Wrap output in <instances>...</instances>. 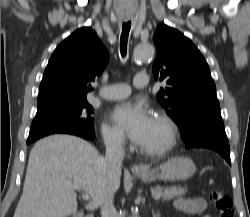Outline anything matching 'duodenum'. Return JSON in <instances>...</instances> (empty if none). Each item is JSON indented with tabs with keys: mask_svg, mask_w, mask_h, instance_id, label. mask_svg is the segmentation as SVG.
Returning <instances> with one entry per match:
<instances>
[{
	"mask_svg": "<svg viewBox=\"0 0 250 217\" xmlns=\"http://www.w3.org/2000/svg\"><path fill=\"white\" fill-rule=\"evenodd\" d=\"M84 217H94L93 215H86V216H84Z\"/></svg>",
	"mask_w": 250,
	"mask_h": 217,
	"instance_id": "410a0bca",
	"label": "duodenum"
}]
</instances>
